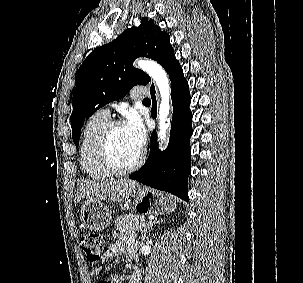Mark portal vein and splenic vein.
<instances>
[{
  "label": "portal vein and splenic vein",
  "mask_w": 303,
  "mask_h": 283,
  "mask_svg": "<svg viewBox=\"0 0 303 283\" xmlns=\"http://www.w3.org/2000/svg\"><path fill=\"white\" fill-rule=\"evenodd\" d=\"M142 227H145V223L142 224Z\"/></svg>",
  "instance_id": "obj_1"
}]
</instances>
